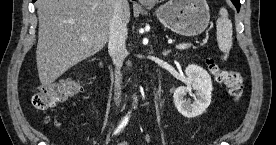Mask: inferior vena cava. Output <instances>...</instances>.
Here are the masks:
<instances>
[{
	"instance_id": "1",
	"label": "inferior vena cava",
	"mask_w": 276,
	"mask_h": 145,
	"mask_svg": "<svg viewBox=\"0 0 276 145\" xmlns=\"http://www.w3.org/2000/svg\"><path fill=\"white\" fill-rule=\"evenodd\" d=\"M129 7L128 0H114L113 15L110 24L108 51L115 65V97L116 105H119L121 95L122 74L121 67L127 56L126 39L128 34L125 11Z\"/></svg>"
}]
</instances>
